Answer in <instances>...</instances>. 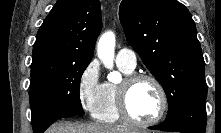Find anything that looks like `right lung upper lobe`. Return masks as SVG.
<instances>
[{"label":"right lung upper lobe","instance_id":"cb5924a9","mask_svg":"<svg viewBox=\"0 0 221 133\" xmlns=\"http://www.w3.org/2000/svg\"><path fill=\"white\" fill-rule=\"evenodd\" d=\"M101 27L99 0H58L37 33L31 74L90 62Z\"/></svg>","mask_w":221,"mask_h":133}]
</instances>
